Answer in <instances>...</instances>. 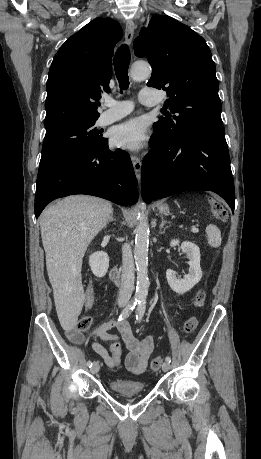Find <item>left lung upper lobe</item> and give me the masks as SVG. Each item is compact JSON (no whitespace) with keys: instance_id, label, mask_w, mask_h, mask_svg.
<instances>
[{"instance_id":"5c2ea615","label":"left lung upper lobe","mask_w":261,"mask_h":459,"mask_svg":"<svg viewBox=\"0 0 261 459\" xmlns=\"http://www.w3.org/2000/svg\"><path fill=\"white\" fill-rule=\"evenodd\" d=\"M137 56L152 66L148 86L163 89L169 112L154 131L180 140L199 132L224 131L216 67L205 40L174 18L155 16L134 41Z\"/></svg>"}]
</instances>
